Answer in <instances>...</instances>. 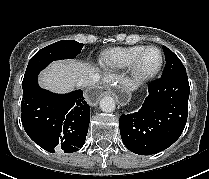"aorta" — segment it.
Here are the masks:
<instances>
[{
	"mask_svg": "<svg viewBox=\"0 0 209 179\" xmlns=\"http://www.w3.org/2000/svg\"><path fill=\"white\" fill-rule=\"evenodd\" d=\"M100 108L104 112H112L115 109V101L110 96H105L100 100Z\"/></svg>",
	"mask_w": 209,
	"mask_h": 179,
	"instance_id": "obj_1",
	"label": "aorta"
}]
</instances>
